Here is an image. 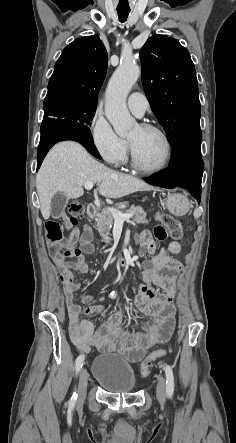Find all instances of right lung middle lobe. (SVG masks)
I'll return each mask as SVG.
<instances>
[{
  "label": "right lung middle lobe",
  "mask_w": 236,
  "mask_h": 443,
  "mask_svg": "<svg viewBox=\"0 0 236 443\" xmlns=\"http://www.w3.org/2000/svg\"><path fill=\"white\" fill-rule=\"evenodd\" d=\"M43 107V121L52 118L61 119L69 121L79 130L91 133L89 126L95 114L96 104L72 98H58L44 102Z\"/></svg>",
  "instance_id": "dd1d6c3e"
}]
</instances>
